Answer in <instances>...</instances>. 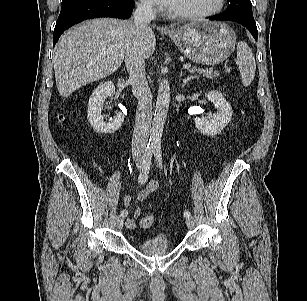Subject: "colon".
Instances as JSON below:
<instances>
[{
	"label": "colon",
	"instance_id": "1",
	"mask_svg": "<svg viewBox=\"0 0 307 301\" xmlns=\"http://www.w3.org/2000/svg\"><path fill=\"white\" fill-rule=\"evenodd\" d=\"M153 222H154L153 215L148 214L145 217H143V219L141 220V226L143 228H148V227L152 226Z\"/></svg>",
	"mask_w": 307,
	"mask_h": 301
}]
</instances>
